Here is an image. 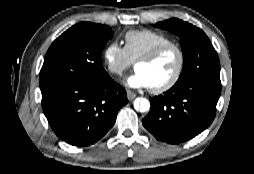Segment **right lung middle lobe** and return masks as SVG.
<instances>
[{"mask_svg":"<svg viewBox=\"0 0 254 174\" xmlns=\"http://www.w3.org/2000/svg\"><path fill=\"white\" fill-rule=\"evenodd\" d=\"M113 35L110 27L90 22L78 23L65 31L46 53L40 71L41 92L106 77L101 53Z\"/></svg>","mask_w":254,"mask_h":174,"instance_id":"dd1d6c3e","label":"right lung middle lobe"}]
</instances>
